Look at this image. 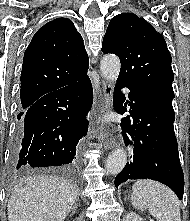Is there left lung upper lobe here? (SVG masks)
<instances>
[{"mask_svg":"<svg viewBox=\"0 0 190 221\" xmlns=\"http://www.w3.org/2000/svg\"><path fill=\"white\" fill-rule=\"evenodd\" d=\"M102 52L120 58L117 81L174 98L170 52L163 36L144 19L132 13L113 17L103 39Z\"/></svg>","mask_w":190,"mask_h":221,"instance_id":"5c2ea615","label":"left lung upper lobe"}]
</instances>
